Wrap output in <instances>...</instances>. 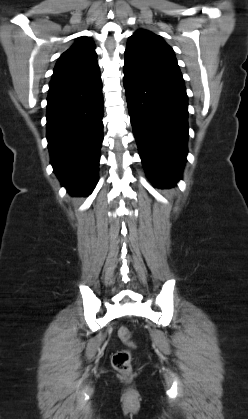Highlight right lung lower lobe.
<instances>
[{"label":"right lung lower lobe","instance_id":"obj_1","mask_svg":"<svg viewBox=\"0 0 248 419\" xmlns=\"http://www.w3.org/2000/svg\"><path fill=\"white\" fill-rule=\"evenodd\" d=\"M103 95L98 63L52 78L47 97V140L51 164L73 195L97 183L103 141Z\"/></svg>","mask_w":248,"mask_h":419}]
</instances>
